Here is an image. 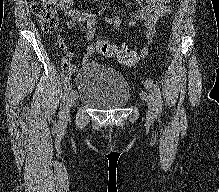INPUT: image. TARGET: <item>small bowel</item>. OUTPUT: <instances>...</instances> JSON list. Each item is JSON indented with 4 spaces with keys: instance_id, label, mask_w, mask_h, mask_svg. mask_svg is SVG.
Returning <instances> with one entry per match:
<instances>
[{
    "instance_id": "c3829d8e",
    "label": "small bowel",
    "mask_w": 219,
    "mask_h": 192,
    "mask_svg": "<svg viewBox=\"0 0 219 192\" xmlns=\"http://www.w3.org/2000/svg\"><path fill=\"white\" fill-rule=\"evenodd\" d=\"M141 8L135 13H120L112 16L108 15V9L102 8L98 12V16L105 21L118 28L124 19L129 26L141 23L144 26V39L146 45L140 51L142 57L148 54L149 46L152 44L155 36V26L160 18L169 14L172 10L170 0H135ZM53 5L63 11L66 17V26L69 29H79L83 32L89 45L86 48L82 63L88 62L101 40L96 37V16L94 14L74 9V0H51ZM60 48L66 52L68 59L74 56L73 51L69 50L66 43L62 40L59 42ZM76 69L75 66L72 67Z\"/></svg>"
}]
</instances>
